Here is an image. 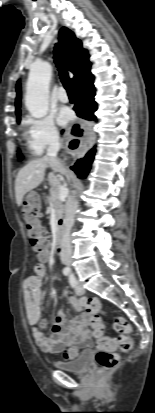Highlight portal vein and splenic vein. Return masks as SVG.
<instances>
[{
  "label": "portal vein and splenic vein",
  "instance_id": "1",
  "mask_svg": "<svg viewBox=\"0 0 155 413\" xmlns=\"http://www.w3.org/2000/svg\"><path fill=\"white\" fill-rule=\"evenodd\" d=\"M69 195V189L66 186H62L59 189V200L63 201Z\"/></svg>",
  "mask_w": 155,
  "mask_h": 413
}]
</instances>
